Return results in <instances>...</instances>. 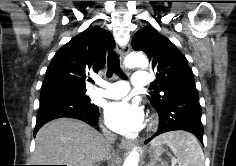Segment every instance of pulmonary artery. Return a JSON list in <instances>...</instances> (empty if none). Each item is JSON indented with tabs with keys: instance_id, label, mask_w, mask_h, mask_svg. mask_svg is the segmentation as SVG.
Instances as JSON below:
<instances>
[{
	"instance_id": "pulmonary-artery-1",
	"label": "pulmonary artery",
	"mask_w": 236,
	"mask_h": 166,
	"mask_svg": "<svg viewBox=\"0 0 236 166\" xmlns=\"http://www.w3.org/2000/svg\"><path fill=\"white\" fill-rule=\"evenodd\" d=\"M150 82V75L146 71L138 70L134 73L132 78V85L137 88H143L148 86ZM129 91V85L125 81H116L113 83H109L105 86L103 90H96L94 93L110 98V99H118L127 94Z\"/></svg>"
}]
</instances>
